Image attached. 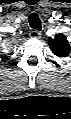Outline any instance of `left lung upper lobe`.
<instances>
[{"mask_svg": "<svg viewBox=\"0 0 71 119\" xmlns=\"http://www.w3.org/2000/svg\"><path fill=\"white\" fill-rule=\"evenodd\" d=\"M49 46L52 52L58 57H66L71 51V47L65 35L59 33L54 39L49 40Z\"/></svg>", "mask_w": 71, "mask_h": 119, "instance_id": "left-lung-upper-lobe-1", "label": "left lung upper lobe"}]
</instances>
